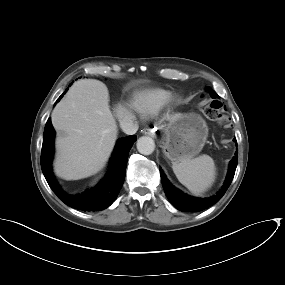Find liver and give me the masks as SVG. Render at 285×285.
I'll use <instances>...</instances> for the list:
<instances>
[{
	"instance_id": "6515ba94",
	"label": "liver",
	"mask_w": 285,
	"mask_h": 285,
	"mask_svg": "<svg viewBox=\"0 0 285 285\" xmlns=\"http://www.w3.org/2000/svg\"><path fill=\"white\" fill-rule=\"evenodd\" d=\"M108 90L95 79L76 81L52 112V124L64 133L56 139V174L78 180L97 173L108 160L117 139V125L109 108ZM118 106L116 117L128 115ZM175 114L168 119H174Z\"/></svg>"
}]
</instances>
